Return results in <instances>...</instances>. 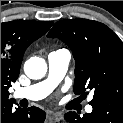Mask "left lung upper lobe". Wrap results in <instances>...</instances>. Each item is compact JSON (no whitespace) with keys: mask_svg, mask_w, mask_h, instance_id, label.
Masks as SVG:
<instances>
[{"mask_svg":"<svg viewBox=\"0 0 123 123\" xmlns=\"http://www.w3.org/2000/svg\"><path fill=\"white\" fill-rule=\"evenodd\" d=\"M67 44L75 59L74 93L92 90L91 106L123 105V42L106 25L86 19L58 21L47 35Z\"/></svg>","mask_w":123,"mask_h":123,"instance_id":"5c2ea615","label":"left lung upper lobe"}]
</instances>
